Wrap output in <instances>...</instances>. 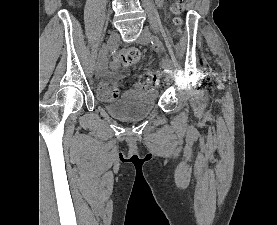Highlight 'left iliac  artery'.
<instances>
[{"label":"left iliac artery","mask_w":277,"mask_h":225,"mask_svg":"<svg viewBox=\"0 0 277 225\" xmlns=\"http://www.w3.org/2000/svg\"><path fill=\"white\" fill-rule=\"evenodd\" d=\"M151 43L158 50H160L161 52H164L165 49H164L163 43L160 41V39L157 36L153 35L151 37ZM161 65H162V67H163V69H164V71L166 73H168V74H172L173 73V70L170 67V61L167 58V56L164 59H162Z\"/></svg>","instance_id":"obj_1"}]
</instances>
